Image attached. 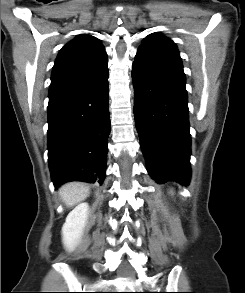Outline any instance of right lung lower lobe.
<instances>
[{"instance_id": "1", "label": "right lung lower lobe", "mask_w": 245, "mask_h": 293, "mask_svg": "<svg viewBox=\"0 0 245 293\" xmlns=\"http://www.w3.org/2000/svg\"><path fill=\"white\" fill-rule=\"evenodd\" d=\"M108 70L49 98L48 161L55 187L103 182L110 133Z\"/></svg>"}]
</instances>
